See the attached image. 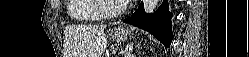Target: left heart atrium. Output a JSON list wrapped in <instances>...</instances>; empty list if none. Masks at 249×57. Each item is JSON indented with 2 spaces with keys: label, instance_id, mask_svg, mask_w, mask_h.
Returning <instances> with one entry per match:
<instances>
[{
  "label": "left heart atrium",
  "instance_id": "1",
  "mask_svg": "<svg viewBox=\"0 0 249 57\" xmlns=\"http://www.w3.org/2000/svg\"><path fill=\"white\" fill-rule=\"evenodd\" d=\"M120 2L126 4V3H129V2H132V0H120Z\"/></svg>",
  "mask_w": 249,
  "mask_h": 57
}]
</instances>
